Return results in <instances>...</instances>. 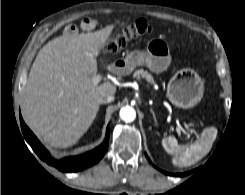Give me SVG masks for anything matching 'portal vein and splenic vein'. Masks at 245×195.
<instances>
[{"instance_id": "obj_1", "label": "portal vein and splenic vein", "mask_w": 245, "mask_h": 195, "mask_svg": "<svg viewBox=\"0 0 245 195\" xmlns=\"http://www.w3.org/2000/svg\"><path fill=\"white\" fill-rule=\"evenodd\" d=\"M101 80H102V76L101 75H95V76L92 77V82H93L94 85H98ZM184 128H185V130H183V132L185 134L190 135V131L191 130H190L189 126L186 125L185 123H184Z\"/></svg>"}]
</instances>
